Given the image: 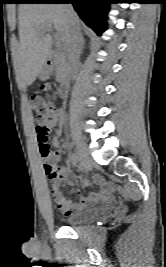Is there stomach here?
Returning <instances> with one entry per match:
<instances>
[{
  "label": "stomach",
  "mask_w": 166,
  "mask_h": 267,
  "mask_svg": "<svg viewBox=\"0 0 166 267\" xmlns=\"http://www.w3.org/2000/svg\"><path fill=\"white\" fill-rule=\"evenodd\" d=\"M50 74H51L50 69L44 66L39 72L38 77L40 78V80L45 81L49 78Z\"/></svg>",
  "instance_id": "obj_1"
}]
</instances>
